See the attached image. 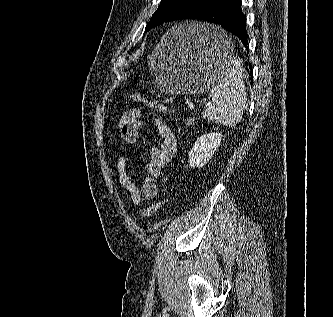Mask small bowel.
<instances>
[{
	"label": "small bowel",
	"instance_id": "1",
	"mask_svg": "<svg viewBox=\"0 0 333 317\" xmlns=\"http://www.w3.org/2000/svg\"><path fill=\"white\" fill-rule=\"evenodd\" d=\"M118 129L121 137L128 143L137 145L143 130L142 113L137 108L125 111L119 118ZM154 125L158 134V143L153 144L149 150L145 164L146 177L141 186L135 183L127 159L120 155L117 158L116 168L118 180L134 205H139L142 200H152L159 192L158 179L164 168L173 158L177 149V139L173 130L162 119L155 118Z\"/></svg>",
	"mask_w": 333,
	"mask_h": 317
}]
</instances>
